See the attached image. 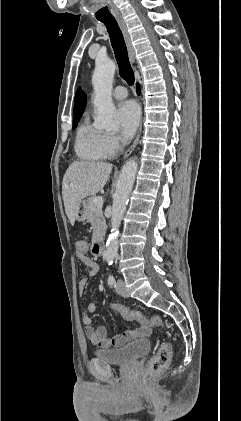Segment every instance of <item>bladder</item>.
<instances>
[{
  "label": "bladder",
  "mask_w": 241,
  "mask_h": 421,
  "mask_svg": "<svg viewBox=\"0 0 241 421\" xmlns=\"http://www.w3.org/2000/svg\"><path fill=\"white\" fill-rule=\"evenodd\" d=\"M150 347L148 339H139L118 349L98 350L95 356L108 364L124 366L146 354Z\"/></svg>",
  "instance_id": "1"
}]
</instances>
